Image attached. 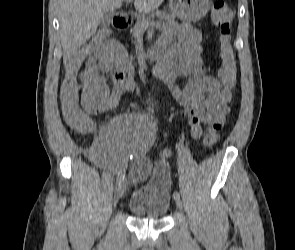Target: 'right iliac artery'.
I'll return each instance as SVG.
<instances>
[{"instance_id": "82829eb1", "label": "right iliac artery", "mask_w": 295, "mask_h": 250, "mask_svg": "<svg viewBox=\"0 0 295 250\" xmlns=\"http://www.w3.org/2000/svg\"><path fill=\"white\" fill-rule=\"evenodd\" d=\"M124 177H125V173H123V172L119 173V174H118V177H117V179H116V183H117L118 185H119L120 183H122L123 180H124Z\"/></svg>"}]
</instances>
